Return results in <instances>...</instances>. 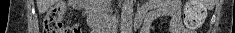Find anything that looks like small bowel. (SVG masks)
Returning a JSON list of instances; mask_svg holds the SVG:
<instances>
[{
	"mask_svg": "<svg viewBox=\"0 0 235 33\" xmlns=\"http://www.w3.org/2000/svg\"><path fill=\"white\" fill-rule=\"evenodd\" d=\"M180 8L181 2L179 0L149 1L140 11V15L144 19L141 33H150L152 23L162 17L169 18L170 33H194L183 25Z\"/></svg>",
	"mask_w": 235,
	"mask_h": 33,
	"instance_id": "1",
	"label": "small bowel"
}]
</instances>
